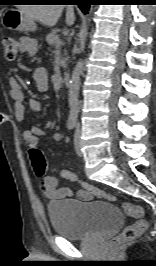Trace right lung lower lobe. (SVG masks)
I'll list each match as a JSON object with an SVG mask.
<instances>
[{
	"mask_svg": "<svg viewBox=\"0 0 156 266\" xmlns=\"http://www.w3.org/2000/svg\"><path fill=\"white\" fill-rule=\"evenodd\" d=\"M74 3L73 5H78L84 14L88 13L90 5H92L93 0H68Z\"/></svg>",
	"mask_w": 156,
	"mask_h": 266,
	"instance_id": "98d812e1",
	"label": "right lung lower lobe"
}]
</instances>
